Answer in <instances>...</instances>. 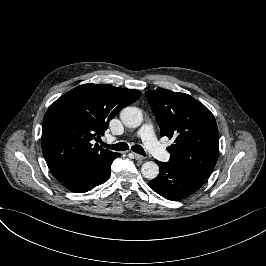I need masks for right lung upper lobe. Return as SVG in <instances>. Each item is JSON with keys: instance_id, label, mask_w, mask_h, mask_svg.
<instances>
[{"instance_id": "obj_1", "label": "right lung upper lobe", "mask_w": 266, "mask_h": 266, "mask_svg": "<svg viewBox=\"0 0 266 266\" xmlns=\"http://www.w3.org/2000/svg\"><path fill=\"white\" fill-rule=\"evenodd\" d=\"M140 96L138 90L84 84L67 92L48 108L42 124V151L59 182L67 180L79 165L114 153L92 147L90 141L96 135H104L109 121Z\"/></svg>"}]
</instances>
